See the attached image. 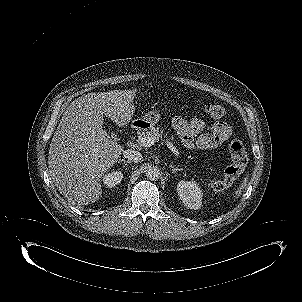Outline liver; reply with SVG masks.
Returning <instances> with one entry per match:
<instances>
[{"instance_id": "obj_1", "label": "liver", "mask_w": 302, "mask_h": 302, "mask_svg": "<svg viewBox=\"0 0 302 302\" xmlns=\"http://www.w3.org/2000/svg\"><path fill=\"white\" fill-rule=\"evenodd\" d=\"M134 96L131 90L87 93L65 110L51 140L48 167L69 202L87 205L100 199L99 180L124 150L103 129V117L119 126L128 124Z\"/></svg>"}]
</instances>
